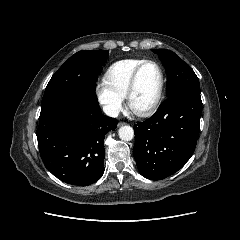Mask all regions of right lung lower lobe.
Wrapping results in <instances>:
<instances>
[{"instance_id":"1","label":"right lung lower lobe","mask_w":240,"mask_h":240,"mask_svg":"<svg viewBox=\"0 0 240 240\" xmlns=\"http://www.w3.org/2000/svg\"><path fill=\"white\" fill-rule=\"evenodd\" d=\"M117 123L97 100L63 98L41 106L36 135L45 167L66 183L93 184L104 172L105 135Z\"/></svg>"}]
</instances>
